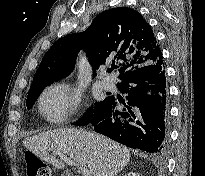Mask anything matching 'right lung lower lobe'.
Returning a JSON list of instances; mask_svg holds the SVG:
<instances>
[{
	"label": "right lung lower lobe",
	"instance_id": "right-lung-lower-lobe-1",
	"mask_svg": "<svg viewBox=\"0 0 205 176\" xmlns=\"http://www.w3.org/2000/svg\"><path fill=\"white\" fill-rule=\"evenodd\" d=\"M118 84L127 93L125 108L115 109V97H107L88 123L94 130L121 144L164 155L168 148V91L163 61L140 66ZM87 123V124H88Z\"/></svg>",
	"mask_w": 205,
	"mask_h": 176
}]
</instances>
